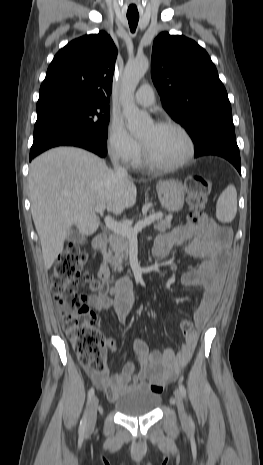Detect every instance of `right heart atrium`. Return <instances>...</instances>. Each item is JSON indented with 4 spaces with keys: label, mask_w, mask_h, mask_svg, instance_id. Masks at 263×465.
Returning <instances> with one entry per match:
<instances>
[{
    "label": "right heart atrium",
    "mask_w": 263,
    "mask_h": 465,
    "mask_svg": "<svg viewBox=\"0 0 263 465\" xmlns=\"http://www.w3.org/2000/svg\"><path fill=\"white\" fill-rule=\"evenodd\" d=\"M106 146L111 157L127 165L136 164L141 156L140 143L130 135L118 118H112L109 123Z\"/></svg>",
    "instance_id": "obj_1"
}]
</instances>
